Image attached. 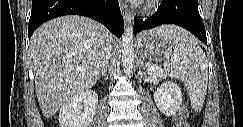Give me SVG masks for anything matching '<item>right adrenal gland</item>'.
<instances>
[{"label":"right adrenal gland","mask_w":243,"mask_h":127,"mask_svg":"<svg viewBox=\"0 0 243 127\" xmlns=\"http://www.w3.org/2000/svg\"><path fill=\"white\" fill-rule=\"evenodd\" d=\"M106 73H107V70L106 68L104 67L102 70H101V73L99 74L98 76V79H100L101 77H106Z\"/></svg>","instance_id":"1"}]
</instances>
